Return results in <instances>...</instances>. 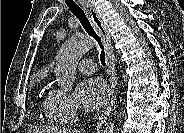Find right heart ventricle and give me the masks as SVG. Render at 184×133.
Wrapping results in <instances>:
<instances>
[{
  "instance_id": "right-heart-ventricle-1",
  "label": "right heart ventricle",
  "mask_w": 184,
  "mask_h": 133,
  "mask_svg": "<svg viewBox=\"0 0 184 133\" xmlns=\"http://www.w3.org/2000/svg\"><path fill=\"white\" fill-rule=\"evenodd\" d=\"M53 91V90H52ZM52 91H48V93L46 94L44 100L41 103V107L43 112L54 122L56 121H60L59 117L57 116L54 108H53V103H52V99H51V92Z\"/></svg>"
}]
</instances>
